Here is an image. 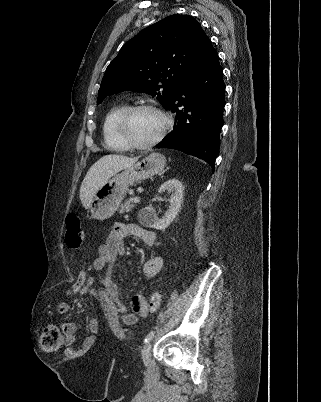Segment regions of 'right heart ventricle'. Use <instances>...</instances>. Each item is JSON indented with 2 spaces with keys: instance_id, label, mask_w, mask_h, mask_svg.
Returning a JSON list of instances; mask_svg holds the SVG:
<instances>
[{
  "instance_id": "right-heart-ventricle-1",
  "label": "right heart ventricle",
  "mask_w": 321,
  "mask_h": 402,
  "mask_svg": "<svg viewBox=\"0 0 321 402\" xmlns=\"http://www.w3.org/2000/svg\"><path fill=\"white\" fill-rule=\"evenodd\" d=\"M127 108L125 103L113 106L105 115L102 124V134L104 145L107 149L114 152H125L129 150L127 145L121 140L117 131V121L122 112Z\"/></svg>"
}]
</instances>
